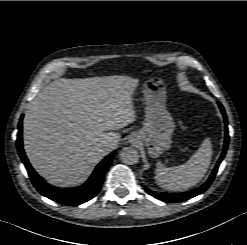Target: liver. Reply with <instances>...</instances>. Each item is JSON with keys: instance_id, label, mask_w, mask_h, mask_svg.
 <instances>
[{"instance_id": "6515ba94", "label": "liver", "mask_w": 247, "mask_h": 245, "mask_svg": "<svg viewBox=\"0 0 247 245\" xmlns=\"http://www.w3.org/2000/svg\"><path fill=\"white\" fill-rule=\"evenodd\" d=\"M138 80L128 76L59 78L29 103L23 120L24 149L33 168L49 184L83 183L109 152L102 148L114 132L135 120L132 96Z\"/></svg>"}]
</instances>
